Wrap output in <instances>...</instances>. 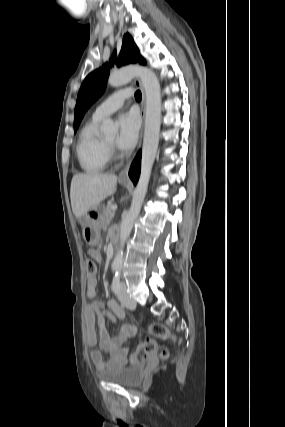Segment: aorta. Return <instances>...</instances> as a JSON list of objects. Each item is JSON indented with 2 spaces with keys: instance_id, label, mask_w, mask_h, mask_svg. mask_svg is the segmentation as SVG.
I'll list each match as a JSON object with an SVG mask.
<instances>
[{
  "instance_id": "1",
  "label": "aorta",
  "mask_w": 285,
  "mask_h": 427,
  "mask_svg": "<svg viewBox=\"0 0 285 427\" xmlns=\"http://www.w3.org/2000/svg\"><path fill=\"white\" fill-rule=\"evenodd\" d=\"M134 77L140 78L146 94L141 173L133 193L131 207L122 219L120 225V246L112 263V267L115 269L122 268L124 257L123 248L132 231L133 224L140 213L148 190L151 171L158 150L161 125V87L157 76L152 70L142 66H128L110 74L108 84L112 87H119L127 84ZM101 130L105 136L114 137L118 132V125L111 119H106L101 125Z\"/></svg>"
}]
</instances>
